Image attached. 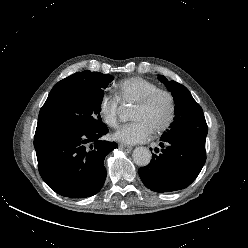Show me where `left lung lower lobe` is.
Here are the masks:
<instances>
[{
	"label": "left lung lower lobe",
	"mask_w": 248,
	"mask_h": 248,
	"mask_svg": "<svg viewBox=\"0 0 248 248\" xmlns=\"http://www.w3.org/2000/svg\"><path fill=\"white\" fill-rule=\"evenodd\" d=\"M160 147L161 153L138 170L144 185L160 193L189 186L205 164V138L175 134L162 137Z\"/></svg>",
	"instance_id": "left-lung-lower-lobe-1"
}]
</instances>
